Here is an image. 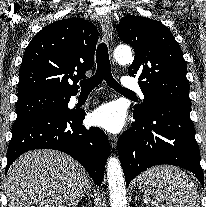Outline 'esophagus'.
<instances>
[{"mask_svg":"<svg viewBox=\"0 0 206 207\" xmlns=\"http://www.w3.org/2000/svg\"><path fill=\"white\" fill-rule=\"evenodd\" d=\"M100 23H101V29H102L104 39L107 42H111L112 38H113V36H112L113 26H112L111 19L108 16H104L101 18ZM109 142H110L111 147L113 149H115L117 146V142H118L117 136L116 135H109Z\"/></svg>","mask_w":206,"mask_h":207,"instance_id":"obj_1","label":"esophagus"}]
</instances>
